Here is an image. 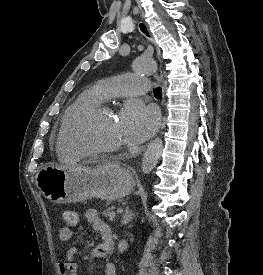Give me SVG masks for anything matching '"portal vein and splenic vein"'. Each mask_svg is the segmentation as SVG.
<instances>
[{
	"label": "portal vein and splenic vein",
	"mask_w": 263,
	"mask_h": 275,
	"mask_svg": "<svg viewBox=\"0 0 263 275\" xmlns=\"http://www.w3.org/2000/svg\"><path fill=\"white\" fill-rule=\"evenodd\" d=\"M118 214H121L123 212V209L122 208H118L117 211H116Z\"/></svg>",
	"instance_id": "18ae733b"
}]
</instances>
